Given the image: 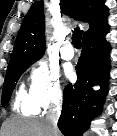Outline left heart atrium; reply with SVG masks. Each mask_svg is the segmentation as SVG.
Here are the masks:
<instances>
[{
	"label": "left heart atrium",
	"mask_w": 117,
	"mask_h": 136,
	"mask_svg": "<svg viewBox=\"0 0 117 136\" xmlns=\"http://www.w3.org/2000/svg\"><path fill=\"white\" fill-rule=\"evenodd\" d=\"M66 73H67V76L70 77V76L72 75V73H73V72H72V69H68Z\"/></svg>",
	"instance_id": "39dd6f15"
}]
</instances>
